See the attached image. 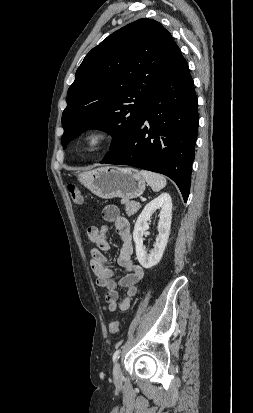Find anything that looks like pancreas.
I'll use <instances>...</instances> for the list:
<instances>
[{
	"instance_id": "1",
	"label": "pancreas",
	"mask_w": 253,
	"mask_h": 413,
	"mask_svg": "<svg viewBox=\"0 0 253 413\" xmlns=\"http://www.w3.org/2000/svg\"><path fill=\"white\" fill-rule=\"evenodd\" d=\"M122 203L125 204V211L128 216L135 214L141 207L138 202L129 201L126 199H123Z\"/></svg>"
}]
</instances>
